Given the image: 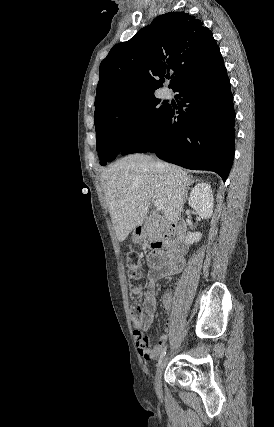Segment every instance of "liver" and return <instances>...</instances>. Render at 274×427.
Returning <instances> with one entry per match:
<instances>
[{"label":"liver","mask_w":274,"mask_h":427,"mask_svg":"<svg viewBox=\"0 0 274 427\" xmlns=\"http://www.w3.org/2000/svg\"><path fill=\"white\" fill-rule=\"evenodd\" d=\"M100 178L118 241L144 223L151 200H162L165 219L175 223L193 184L182 168L165 162L157 168L154 158L144 154L121 158Z\"/></svg>","instance_id":"liver-1"}]
</instances>
